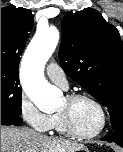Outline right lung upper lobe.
<instances>
[{
    "mask_svg": "<svg viewBox=\"0 0 123 152\" xmlns=\"http://www.w3.org/2000/svg\"><path fill=\"white\" fill-rule=\"evenodd\" d=\"M33 23L29 9L13 5L1 9V70L18 72L20 55Z\"/></svg>",
    "mask_w": 123,
    "mask_h": 152,
    "instance_id": "cb5924a9",
    "label": "right lung upper lobe"
}]
</instances>
